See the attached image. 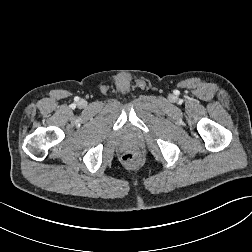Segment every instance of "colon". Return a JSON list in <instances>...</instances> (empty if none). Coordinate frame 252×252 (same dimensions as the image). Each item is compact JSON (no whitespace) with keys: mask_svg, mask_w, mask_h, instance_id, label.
Instances as JSON below:
<instances>
[{"mask_svg":"<svg viewBox=\"0 0 252 252\" xmlns=\"http://www.w3.org/2000/svg\"><path fill=\"white\" fill-rule=\"evenodd\" d=\"M139 159L138 154L134 152H128L124 155L123 160L127 163H135Z\"/></svg>","mask_w":252,"mask_h":252,"instance_id":"5ec220e1","label":"colon"}]
</instances>
